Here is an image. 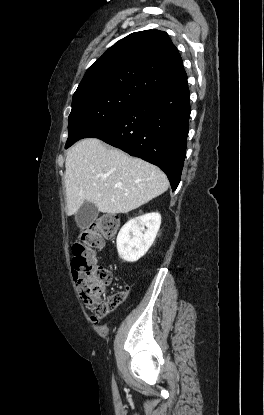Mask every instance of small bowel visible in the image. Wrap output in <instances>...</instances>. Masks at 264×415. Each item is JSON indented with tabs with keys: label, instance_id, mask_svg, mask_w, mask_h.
<instances>
[{
	"label": "small bowel",
	"instance_id": "small-bowel-1",
	"mask_svg": "<svg viewBox=\"0 0 264 415\" xmlns=\"http://www.w3.org/2000/svg\"><path fill=\"white\" fill-rule=\"evenodd\" d=\"M73 279L78 280V275L73 273Z\"/></svg>",
	"mask_w": 264,
	"mask_h": 415
}]
</instances>
